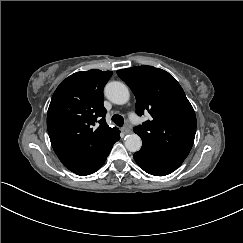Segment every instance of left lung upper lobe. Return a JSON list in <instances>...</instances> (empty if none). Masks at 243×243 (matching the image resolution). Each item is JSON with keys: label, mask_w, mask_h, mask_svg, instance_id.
I'll use <instances>...</instances> for the list:
<instances>
[{"label": "left lung upper lobe", "mask_w": 243, "mask_h": 243, "mask_svg": "<svg viewBox=\"0 0 243 243\" xmlns=\"http://www.w3.org/2000/svg\"><path fill=\"white\" fill-rule=\"evenodd\" d=\"M136 97V112L148 111L152 120L135 127L142 146L185 159L194 142L196 115L182 87L168 72L152 66L117 71Z\"/></svg>", "instance_id": "1"}]
</instances>
